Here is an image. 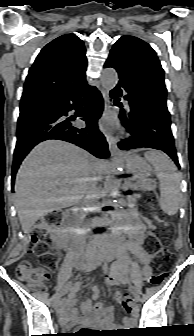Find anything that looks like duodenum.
I'll return each instance as SVG.
<instances>
[{
	"label": "duodenum",
	"mask_w": 194,
	"mask_h": 336,
	"mask_svg": "<svg viewBox=\"0 0 194 336\" xmlns=\"http://www.w3.org/2000/svg\"><path fill=\"white\" fill-rule=\"evenodd\" d=\"M84 206L79 205L71 208L64 218L62 227L65 231V249L73 254L75 260L81 264L95 268L98 263L105 259V249L97 248L94 252L88 255L81 247V233L78 227L80 213L83 211Z\"/></svg>",
	"instance_id": "1"
}]
</instances>
